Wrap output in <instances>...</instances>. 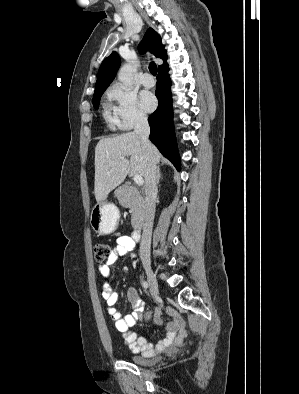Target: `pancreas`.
<instances>
[{
	"instance_id": "pancreas-1",
	"label": "pancreas",
	"mask_w": 299,
	"mask_h": 394,
	"mask_svg": "<svg viewBox=\"0 0 299 394\" xmlns=\"http://www.w3.org/2000/svg\"><path fill=\"white\" fill-rule=\"evenodd\" d=\"M117 194L124 197L123 205L130 208L132 213V227L134 229L139 228L145 215V202L143 196L135 187H132L128 184L120 187V189L117 191Z\"/></svg>"
}]
</instances>
